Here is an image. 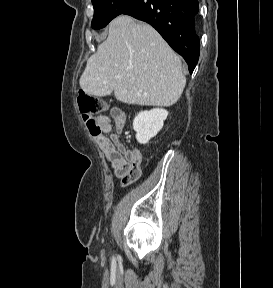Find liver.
Returning <instances> with one entry per match:
<instances>
[{
    "instance_id": "obj_1",
    "label": "liver",
    "mask_w": 273,
    "mask_h": 288,
    "mask_svg": "<svg viewBox=\"0 0 273 288\" xmlns=\"http://www.w3.org/2000/svg\"><path fill=\"white\" fill-rule=\"evenodd\" d=\"M79 84L87 95L114 91L123 103L169 107L180 98L186 78L180 58L152 26L121 15L88 59Z\"/></svg>"
}]
</instances>
